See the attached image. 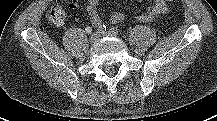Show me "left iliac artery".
<instances>
[{
    "label": "left iliac artery",
    "mask_w": 217,
    "mask_h": 121,
    "mask_svg": "<svg viewBox=\"0 0 217 121\" xmlns=\"http://www.w3.org/2000/svg\"><path fill=\"white\" fill-rule=\"evenodd\" d=\"M110 32H112L115 35H118L119 34V29L117 27H111Z\"/></svg>",
    "instance_id": "left-iliac-artery-1"
}]
</instances>
